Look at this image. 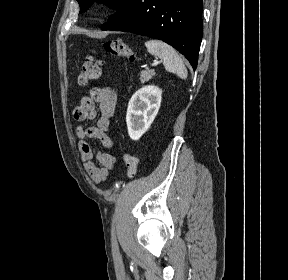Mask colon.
I'll return each mask as SVG.
<instances>
[{"label": "colon", "instance_id": "5ec220e1", "mask_svg": "<svg viewBox=\"0 0 288 280\" xmlns=\"http://www.w3.org/2000/svg\"><path fill=\"white\" fill-rule=\"evenodd\" d=\"M105 53L116 57H122L129 62L136 60L135 52L122 40H109L103 45ZM103 61L98 57H89L82 65L78 81L82 85H86L91 81L98 79L101 75ZM123 161L127 168L129 177H134L137 173L138 160L129 153L123 154Z\"/></svg>", "mask_w": 288, "mask_h": 280}]
</instances>
